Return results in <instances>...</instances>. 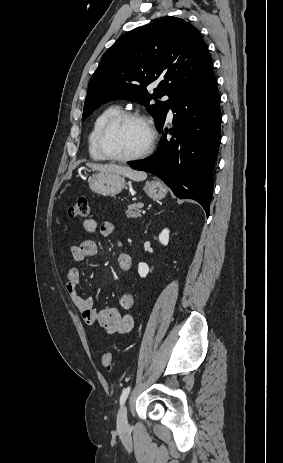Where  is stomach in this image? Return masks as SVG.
<instances>
[{
    "label": "stomach",
    "instance_id": "1",
    "mask_svg": "<svg viewBox=\"0 0 283 463\" xmlns=\"http://www.w3.org/2000/svg\"><path fill=\"white\" fill-rule=\"evenodd\" d=\"M90 189L100 195L114 196L126 187L125 177L117 174L96 173L89 179ZM145 193L152 199H163L167 190L158 180L147 181L144 186Z\"/></svg>",
    "mask_w": 283,
    "mask_h": 463
}]
</instances>
